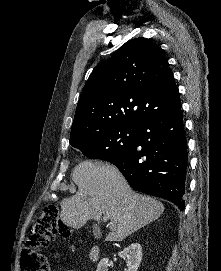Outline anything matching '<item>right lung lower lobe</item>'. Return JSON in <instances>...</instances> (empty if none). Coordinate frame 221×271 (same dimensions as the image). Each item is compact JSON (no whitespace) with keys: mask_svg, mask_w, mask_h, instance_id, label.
<instances>
[{"mask_svg":"<svg viewBox=\"0 0 221 271\" xmlns=\"http://www.w3.org/2000/svg\"><path fill=\"white\" fill-rule=\"evenodd\" d=\"M187 160L186 134L179 105L138 126L135 145L113 164L134 190L165 198L183 211Z\"/></svg>","mask_w":221,"mask_h":271,"instance_id":"obj_1","label":"right lung lower lobe"}]
</instances>
